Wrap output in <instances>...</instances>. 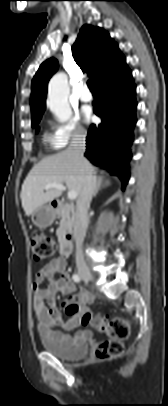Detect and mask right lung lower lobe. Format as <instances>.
Returning a JSON list of instances; mask_svg holds the SVG:
<instances>
[{
  "instance_id": "1",
  "label": "right lung lower lobe",
  "mask_w": 168,
  "mask_h": 406,
  "mask_svg": "<svg viewBox=\"0 0 168 406\" xmlns=\"http://www.w3.org/2000/svg\"><path fill=\"white\" fill-rule=\"evenodd\" d=\"M96 88L98 98L94 101V113L102 122L90 126L85 157L118 176L124 189L129 180V146L136 124V86L126 65Z\"/></svg>"
}]
</instances>
